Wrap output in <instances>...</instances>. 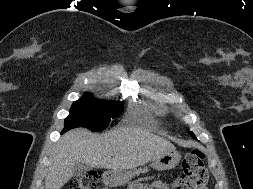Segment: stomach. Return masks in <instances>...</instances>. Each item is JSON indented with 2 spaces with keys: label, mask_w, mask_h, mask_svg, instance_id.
Instances as JSON below:
<instances>
[{
  "label": "stomach",
  "mask_w": 253,
  "mask_h": 189,
  "mask_svg": "<svg viewBox=\"0 0 253 189\" xmlns=\"http://www.w3.org/2000/svg\"><path fill=\"white\" fill-rule=\"evenodd\" d=\"M180 154L176 150L166 151L158 154L152 159L151 166L159 171L170 170L177 166ZM133 174L130 171H106L103 175L105 184L117 186L127 183Z\"/></svg>",
  "instance_id": "obj_1"
}]
</instances>
